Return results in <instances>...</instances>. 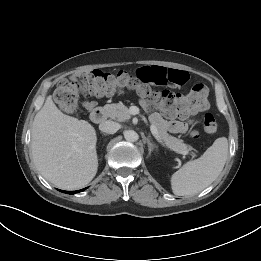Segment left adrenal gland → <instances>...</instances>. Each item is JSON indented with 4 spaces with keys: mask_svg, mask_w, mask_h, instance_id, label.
Segmentation results:
<instances>
[{
    "mask_svg": "<svg viewBox=\"0 0 261 261\" xmlns=\"http://www.w3.org/2000/svg\"><path fill=\"white\" fill-rule=\"evenodd\" d=\"M146 142L148 144V152H149L148 154L151 155V152L154 149L157 150V146L154 143H152L149 138L146 139Z\"/></svg>",
    "mask_w": 261,
    "mask_h": 261,
    "instance_id": "obj_1",
    "label": "left adrenal gland"
}]
</instances>
